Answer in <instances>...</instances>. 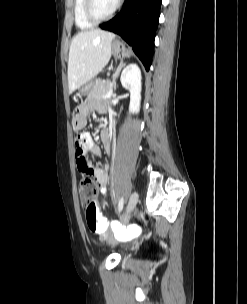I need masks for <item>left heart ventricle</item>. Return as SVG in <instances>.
Segmentation results:
<instances>
[{
  "mask_svg": "<svg viewBox=\"0 0 247 304\" xmlns=\"http://www.w3.org/2000/svg\"><path fill=\"white\" fill-rule=\"evenodd\" d=\"M118 0H95V11L99 16H106L113 11Z\"/></svg>",
  "mask_w": 247,
  "mask_h": 304,
  "instance_id": "b2bd125f",
  "label": "left heart ventricle"
}]
</instances>
